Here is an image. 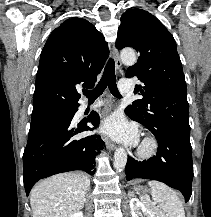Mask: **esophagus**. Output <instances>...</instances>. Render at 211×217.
I'll use <instances>...</instances> for the list:
<instances>
[{"mask_svg":"<svg viewBox=\"0 0 211 217\" xmlns=\"http://www.w3.org/2000/svg\"><path fill=\"white\" fill-rule=\"evenodd\" d=\"M111 52H112V56L115 60V65H116L117 69H119L121 67L122 63H121V60L119 57V52H118L117 48L115 47V45L112 46ZM107 110H108L107 108L102 110V114H101L102 119L105 117ZM104 141L106 143L107 148L110 151H113L116 148L115 144L108 137H104Z\"/></svg>","mask_w":211,"mask_h":217,"instance_id":"esophagus-1","label":"esophagus"}]
</instances>
